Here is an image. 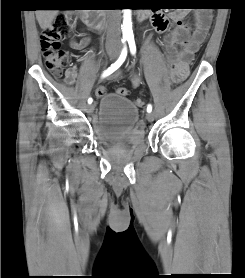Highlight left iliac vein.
Masks as SVG:
<instances>
[{
    "mask_svg": "<svg viewBox=\"0 0 245 278\" xmlns=\"http://www.w3.org/2000/svg\"><path fill=\"white\" fill-rule=\"evenodd\" d=\"M146 118H147V120H148L149 122H151V121L154 120V114L151 113V112H148V113L146 114Z\"/></svg>",
    "mask_w": 245,
    "mask_h": 278,
    "instance_id": "1",
    "label": "left iliac vein"
}]
</instances>
